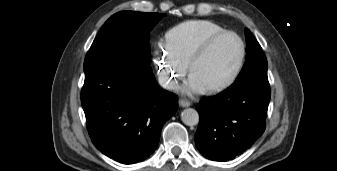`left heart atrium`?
<instances>
[{
    "label": "left heart atrium",
    "mask_w": 337,
    "mask_h": 171,
    "mask_svg": "<svg viewBox=\"0 0 337 171\" xmlns=\"http://www.w3.org/2000/svg\"><path fill=\"white\" fill-rule=\"evenodd\" d=\"M186 89L192 93H202L206 90V87L191 74L187 84Z\"/></svg>",
    "instance_id": "left-heart-atrium-1"
}]
</instances>
